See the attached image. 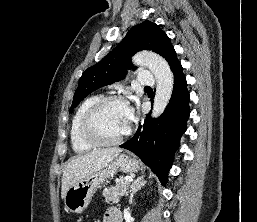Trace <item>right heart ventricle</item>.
Segmentation results:
<instances>
[{"label": "right heart ventricle", "mask_w": 257, "mask_h": 222, "mask_svg": "<svg viewBox=\"0 0 257 222\" xmlns=\"http://www.w3.org/2000/svg\"><path fill=\"white\" fill-rule=\"evenodd\" d=\"M100 98V95H93L86 98L78 107L76 113L73 116L70 126V142L75 153H85L95 147L82 136L81 123L87 110Z\"/></svg>", "instance_id": "e07e8e85"}]
</instances>
